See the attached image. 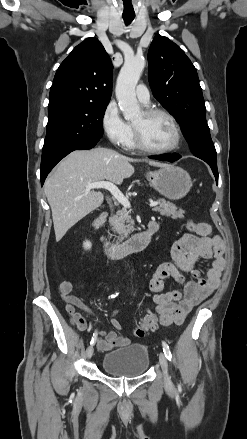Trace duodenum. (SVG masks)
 <instances>
[{
	"label": "duodenum",
	"instance_id": "obj_1",
	"mask_svg": "<svg viewBox=\"0 0 247 439\" xmlns=\"http://www.w3.org/2000/svg\"><path fill=\"white\" fill-rule=\"evenodd\" d=\"M106 217L107 214L103 213L93 221L92 228L95 233H99L100 227L104 223ZM155 232L156 227L150 222L143 231L135 234L123 243H112L104 236H100V241L106 255L112 258H121L145 249L150 244Z\"/></svg>",
	"mask_w": 247,
	"mask_h": 439
}]
</instances>
